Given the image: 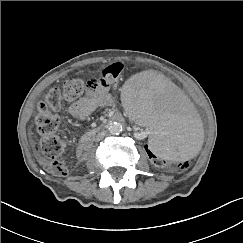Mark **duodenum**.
I'll return each instance as SVG.
<instances>
[{
  "instance_id": "1",
  "label": "duodenum",
  "mask_w": 243,
  "mask_h": 243,
  "mask_svg": "<svg viewBox=\"0 0 243 243\" xmlns=\"http://www.w3.org/2000/svg\"><path fill=\"white\" fill-rule=\"evenodd\" d=\"M122 116L119 114H115L111 117L110 121H121ZM89 149V145L87 142H82L77 148V154L80 158H85Z\"/></svg>"
}]
</instances>
